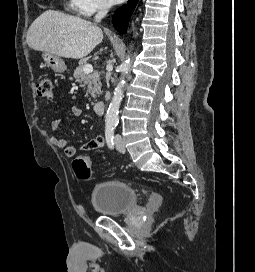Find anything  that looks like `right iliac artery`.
<instances>
[{"label":"right iliac artery","mask_w":255,"mask_h":272,"mask_svg":"<svg viewBox=\"0 0 255 272\" xmlns=\"http://www.w3.org/2000/svg\"><path fill=\"white\" fill-rule=\"evenodd\" d=\"M105 136H106V142H107V145L110 149H113L114 148V131L113 129L111 128H107L105 130Z\"/></svg>","instance_id":"82829eb1"}]
</instances>
